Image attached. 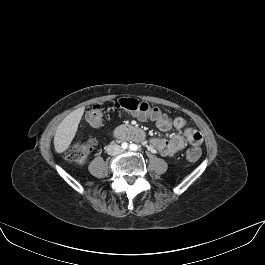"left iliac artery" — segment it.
Masks as SVG:
<instances>
[{"label":"left iliac artery","instance_id":"1","mask_svg":"<svg viewBox=\"0 0 265 265\" xmlns=\"http://www.w3.org/2000/svg\"><path fill=\"white\" fill-rule=\"evenodd\" d=\"M129 149L132 150V151H136V150H138V146L136 144H131L129 146Z\"/></svg>","mask_w":265,"mask_h":265}]
</instances>
